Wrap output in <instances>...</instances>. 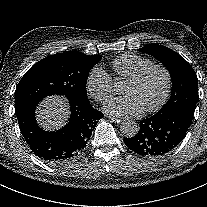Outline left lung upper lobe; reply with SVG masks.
I'll use <instances>...</instances> for the list:
<instances>
[{
    "label": "left lung upper lobe",
    "mask_w": 207,
    "mask_h": 207,
    "mask_svg": "<svg viewBox=\"0 0 207 207\" xmlns=\"http://www.w3.org/2000/svg\"><path fill=\"white\" fill-rule=\"evenodd\" d=\"M139 51L155 57L171 75V97L158 113L179 110L193 117L198 100V78L192 66L178 53L162 45H147Z\"/></svg>",
    "instance_id": "1"
}]
</instances>
